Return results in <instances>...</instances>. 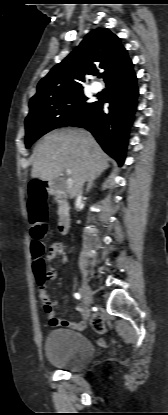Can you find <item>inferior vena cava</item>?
<instances>
[{
    "instance_id": "obj_1",
    "label": "inferior vena cava",
    "mask_w": 168,
    "mask_h": 415,
    "mask_svg": "<svg viewBox=\"0 0 168 415\" xmlns=\"http://www.w3.org/2000/svg\"><path fill=\"white\" fill-rule=\"evenodd\" d=\"M81 198H82V190L80 189L76 194V201L81 200Z\"/></svg>"
}]
</instances>
